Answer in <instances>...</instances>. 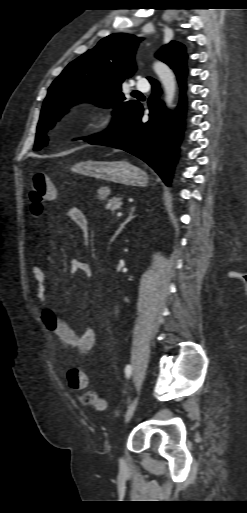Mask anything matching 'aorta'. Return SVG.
Returning a JSON list of instances; mask_svg holds the SVG:
<instances>
[{
	"label": "aorta",
	"instance_id": "1",
	"mask_svg": "<svg viewBox=\"0 0 247 513\" xmlns=\"http://www.w3.org/2000/svg\"><path fill=\"white\" fill-rule=\"evenodd\" d=\"M153 69L157 74L165 93V104L168 109L173 106V100L176 90L175 75L173 71L161 61H155Z\"/></svg>",
	"mask_w": 247,
	"mask_h": 513
}]
</instances>
